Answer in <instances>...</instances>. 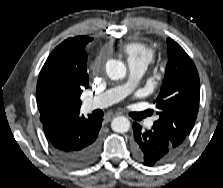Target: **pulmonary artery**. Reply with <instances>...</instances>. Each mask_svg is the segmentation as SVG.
<instances>
[{
    "label": "pulmonary artery",
    "mask_w": 223,
    "mask_h": 188,
    "mask_svg": "<svg viewBox=\"0 0 223 188\" xmlns=\"http://www.w3.org/2000/svg\"><path fill=\"white\" fill-rule=\"evenodd\" d=\"M147 64L140 61H128L129 79L128 81L115 88L109 89L99 95L89 97L84 100V108L87 111L108 107L126 95H128L139 83L142 75L146 71ZM153 125V121L147 123L148 127Z\"/></svg>",
    "instance_id": "e3ab8cb5"
}]
</instances>
